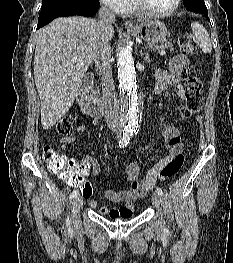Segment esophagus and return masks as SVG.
<instances>
[{
	"label": "esophagus",
	"instance_id": "obj_1",
	"mask_svg": "<svg viewBox=\"0 0 233 263\" xmlns=\"http://www.w3.org/2000/svg\"><path fill=\"white\" fill-rule=\"evenodd\" d=\"M125 26H126V28H134L135 27V25L132 21H126Z\"/></svg>",
	"mask_w": 233,
	"mask_h": 263
}]
</instances>
